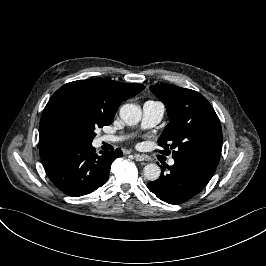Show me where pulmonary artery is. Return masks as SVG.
I'll use <instances>...</instances> for the list:
<instances>
[{
  "instance_id": "e3ab8cb5",
  "label": "pulmonary artery",
  "mask_w": 266,
  "mask_h": 266,
  "mask_svg": "<svg viewBox=\"0 0 266 266\" xmlns=\"http://www.w3.org/2000/svg\"><path fill=\"white\" fill-rule=\"evenodd\" d=\"M142 126L144 128H152L156 126L165 113V105L161 101L147 100L142 106ZM103 140L106 142L117 141L119 138L112 136H104ZM174 160H169V165H173Z\"/></svg>"
}]
</instances>
